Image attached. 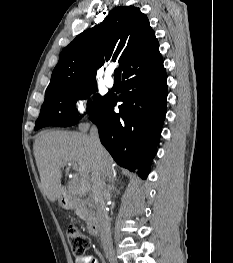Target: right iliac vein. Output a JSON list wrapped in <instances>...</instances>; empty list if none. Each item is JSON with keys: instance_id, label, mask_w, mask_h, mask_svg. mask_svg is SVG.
<instances>
[{"instance_id": "right-iliac-vein-1", "label": "right iliac vein", "mask_w": 233, "mask_h": 263, "mask_svg": "<svg viewBox=\"0 0 233 263\" xmlns=\"http://www.w3.org/2000/svg\"><path fill=\"white\" fill-rule=\"evenodd\" d=\"M111 263H118V262H116V261H113V262H111Z\"/></svg>"}]
</instances>
